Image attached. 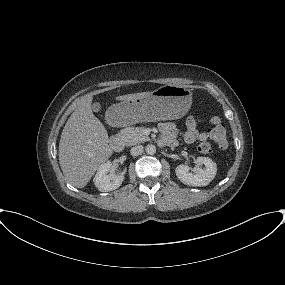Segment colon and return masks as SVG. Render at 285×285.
I'll use <instances>...</instances> for the list:
<instances>
[{
    "mask_svg": "<svg viewBox=\"0 0 285 285\" xmlns=\"http://www.w3.org/2000/svg\"><path fill=\"white\" fill-rule=\"evenodd\" d=\"M211 129L209 132L211 140L216 144L219 149H226L228 147L227 130L225 124L219 117H213L211 119ZM199 151L203 154L211 152V146L209 143H202L199 146Z\"/></svg>",
    "mask_w": 285,
    "mask_h": 285,
    "instance_id": "colon-1",
    "label": "colon"
}]
</instances>
